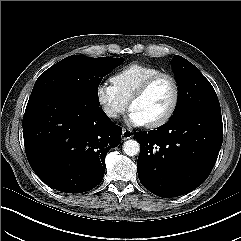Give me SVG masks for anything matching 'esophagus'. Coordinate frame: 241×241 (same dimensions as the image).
<instances>
[{
    "label": "esophagus",
    "instance_id": "1",
    "mask_svg": "<svg viewBox=\"0 0 241 241\" xmlns=\"http://www.w3.org/2000/svg\"><path fill=\"white\" fill-rule=\"evenodd\" d=\"M133 137V132L129 129H122V138L123 140H127Z\"/></svg>",
    "mask_w": 241,
    "mask_h": 241
}]
</instances>
